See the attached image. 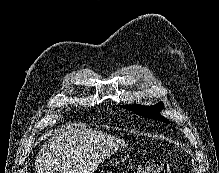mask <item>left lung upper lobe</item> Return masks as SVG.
<instances>
[{"label": "left lung upper lobe", "mask_w": 219, "mask_h": 173, "mask_svg": "<svg viewBox=\"0 0 219 173\" xmlns=\"http://www.w3.org/2000/svg\"><path fill=\"white\" fill-rule=\"evenodd\" d=\"M121 107L134 111L136 114L147 118H153L155 120L169 123V120L159 115L160 110L164 107L162 103H158L155 106L144 107L141 105H122Z\"/></svg>", "instance_id": "left-lung-upper-lobe-1"}]
</instances>
